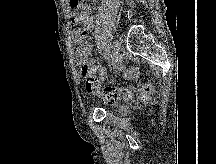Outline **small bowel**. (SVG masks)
Returning a JSON list of instances; mask_svg holds the SVG:
<instances>
[{"instance_id": "1", "label": "small bowel", "mask_w": 216, "mask_h": 164, "mask_svg": "<svg viewBox=\"0 0 216 164\" xmlns=\"http://www.w3.org/2000/svg\"><path fill=\"white\" fill-rule=\"evenodd\" d=\"M73 24L81 25L82 28H77L73 33L74 41L77 45L75 61L79 66L88 68L93 74L105 75V67L97 59H90L92 46L87 41V36L93 28V15L89 6H84L78 15L73 16ZM131 72H128L130 75Z\"/></svg>"}]
</instances>
